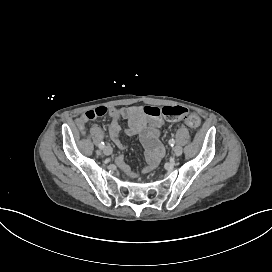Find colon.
<instances>
[{
    "mask_svg": "<svg viewBox=\"0 0 272 272\" xmlns=\"http://www.w3.org/2000/svg\"><path fill=\"white\" fill-rule=\"evenodd\" d=\"M108 113V109L105 106H98L95 108H91L85 112L83 118L78 121V125L80 128L84 127L85 121L93 120L98 117H103ZM187 113L186 107L182 105H167V106H156L149 107L146 111V115L149 117H166L170 120L183 118ZM198 124V120L196 118H192L188 121V125L191 127H196Z\"/></svg>",
    "mask_w": 272,
    "mask_h": 272,
    "instance_id": "colon-1",
    "label": "colon"
}]
</instances>
